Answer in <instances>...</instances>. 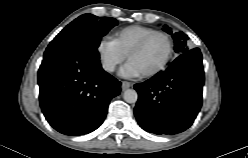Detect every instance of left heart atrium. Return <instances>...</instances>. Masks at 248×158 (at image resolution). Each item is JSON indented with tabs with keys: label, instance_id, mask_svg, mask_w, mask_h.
Segmentation results:
<instances>
[{
	"label": "left heart atrium",
	"instance_id": "1",
	"mask_svg": "<svg viewBox=\"0 0 248 158\" xmlns=\"http://www.w3.org/2000/svg\"><path fill=\"white\" fill-rule=\"evenodd\" d=\"M142 74L136 64L129 60L120 70V75L125 78H135Z\"/></svg>",
	"mask_w": 248,
	"mask_h": 158
}]
</instances>
